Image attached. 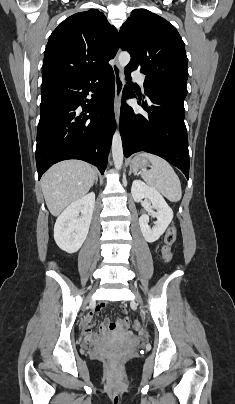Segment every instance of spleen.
I'll return each instance as SVG.
<instances>
[{
    "mask_svg": "<svg viewBox=\"0 0 235 404\" xmlns=\"http://www.w3.org/2000/svg\"><path fill=\"white\" fill-rule=\"evenodd\" d=\"M152 166L149 171L141 172L142 178L148 185L161 192L169 201L177 202L182 197L181 183L171 165L159 156L141 153Z\"/></svg>",
    "mask_w": 235,
    "mask_h": 404,
    "instance_id": "obj_1",
    "label": "spleen"
}]
</instances>
